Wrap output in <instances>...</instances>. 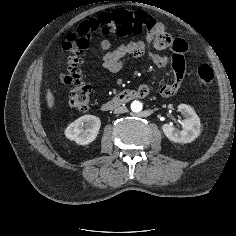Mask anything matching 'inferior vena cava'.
I'll use <instances>...</instances> for the list:
<instances>
[{"instance_id": "1", "label": "inferior vena cava", "mask_w": 236, "mask_h": 236, "mask_svg": "<svg viewBox=\"0 0 236 236\" xmlns=\"http://www.w3.org/2000/svg\"><path fill=\"white\" fill-rule=\"evenodd\" d=\"M125 112H127V107L125 106H120L114 110L115 114L125 113Z\"/></svg>"}]
</instances>
